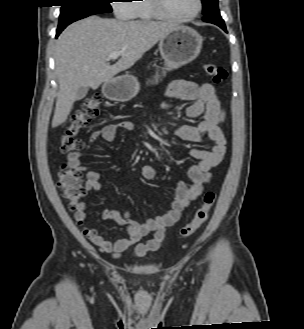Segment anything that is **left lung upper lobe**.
<instances>
[{
	"mask_svg": "<svg viewBox=\"0 0 304 329\" xmlns=\"http://www.w3.org/2000/svg\"><path fill=\"white\" fill-rule=\"evenodd\" d=\"M203 14L214 6H218V0H202Z\"/></svg>",
	"mask_w": 304,
	"mask_h": 329,
	"instance_id": "left-lung-upper-lobe-1",
	"label": "left lung upper lobe"
}]
</instances>
